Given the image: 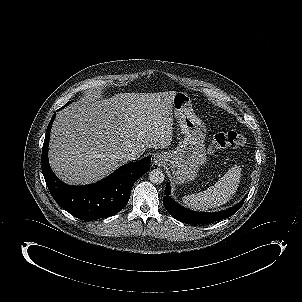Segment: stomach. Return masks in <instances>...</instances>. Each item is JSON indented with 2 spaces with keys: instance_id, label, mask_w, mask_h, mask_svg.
Returning a JSON list of instances; mask_svg holds the SVG:
<instances>
[{
  "instance_id": "0dacf381",
  "label": "stomach",
  "mask_w": 302,
  "mask_h": 302,
  "mask_svg": "<svg viewBox=\"0 0 302 302\" xmlns=\"http://www.w3.org/2000/svg\"><path fill=\"white\" fill-rule=\"evenodd\" d=\"M172 104V112L178 119L184 137L173 151L165 155L172 171V180L176 184H183L193 181L206 161V127L193 112L192 100L187 93L176 92Z\"/></svg>"
}]
</instances>
